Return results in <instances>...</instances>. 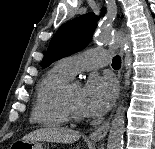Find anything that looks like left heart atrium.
Returning <instances> with one entry per match:
<instances>
[{
	"mask_svg": "<svg viewBox=\"0 0 155 149\" xmlns=\"http://www.w3.org/2000/svg\"><path fill=\"white\" fill-rule=\"evenodd\" d=\"M116 83L111 77H92L81 91L80 109L88 117L103 115L116 96Z\"/></svg>",
	"mask_w": 155,
	"mask_h": 149,
	"instance_id": "1",
	"label": "left heart atrium"
}]
</instances>
